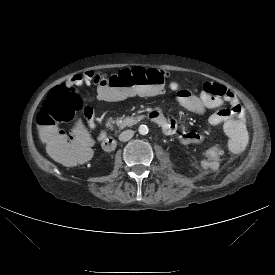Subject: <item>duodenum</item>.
<instances>
[{"label":"duodenum","mask_w":275,"mask_h":275,"mask_svg":"<svg viewBox=\"0 0 275 275\" xmlns=\"http://www.w3.org/2000/svg\"><path fill=\"white\" fill-rule=\"evenodd\" d=\"M150 117L152 118V120L154 121V117L156 115L155 112H151ZM117 146V141L114 137L112 136H108L106 138H104L103 142H102V147L105 151H113Z\"/></svg>","instance_id":"1"}]
</instances>
